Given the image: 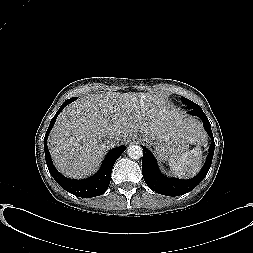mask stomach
Listing matches in <instances>:
<instances>
[{
  "instance_id": "stomach-1",
  "label": "stomach",
  "mask_w": 253,
  "mask_h": 253,
  "mask_svg": "<svg viewBox=\"0 0 253 253\" xmlns=\"http://www.w3.org/2000/svg\"><path fill=\"white\" fill-rule=\"evenodd\" d=\"M143 141L154 146V152L161 161H166L170 156L186 151L189 143L178 135L165 134L157 139H152L146 134L141 135Z\"/></svg>"
}]
</instances>
